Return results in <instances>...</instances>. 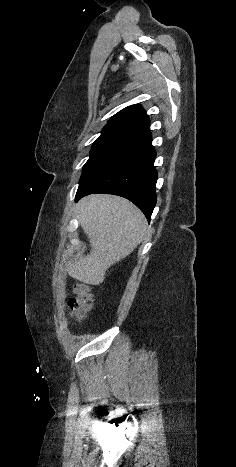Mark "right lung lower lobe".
Listing matches in <instances>:
<instances>
[{"mask_svg": "<svg viewBox=\"0 0 236 467\" xmlns=\"http://www.w3.org/2000/svg\"><path fill=\"white\" fill-rule=\"evenodd\" d=\"M156 151L148 131L125 144L80 180L75 200L91 193L127 198L150 220L157 197Z\"/></svg>", "mask_w": 236, "mask_h": 467, "instance_id": "98d812e1", "label": "right lung lower lobe"}]
</instances>
